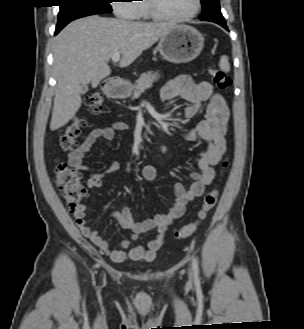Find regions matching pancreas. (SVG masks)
<instances>
[{"mask_svg": "<svg viewBox=\"0 0 304 329\" xmlns=\"http://www.w3.org/2000/svg\"><path fill=\"white\" fill-rule=\"evenodd\" d=\"M159 79L158 72L148 71L147 73H142L136 84L133 86L134 93L132 100L137 99L146 90L152 87L153 82Z\"/></svg>", "mask_w": 304, "mask_h": 329, "instance_id": "obj_1", "label": "pancreas"}]
</instances>
